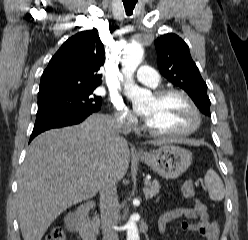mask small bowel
Masks as SVG:
<instances>
[{
  "label": "small bowel",
  "mask_w": 248,
  "mask_h": 240,
  "mask_svg": "<svg viewBox=\"0 0 248 240\" xmlns=\"http://www.w3.org/2000/svg\"><path fill=\"white\" fill-rule=\"evenodd\" d=\"M180 218L185 220L180 222V228L200 235L207 240H218L220 228L215 221L210 220L207 207L195 201L191 207L175 206L164 213L158 220V228L165 234L171 221Z\"/></svg>",
  "instance_id": "c3829d8e"
}]
</instances>
